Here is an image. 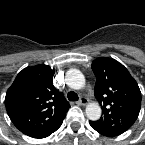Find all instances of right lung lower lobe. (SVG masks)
Segmentation results:
<instances>
[{
  "mask_svg": "<svg viewBox=\"0 0 145 145\" xmlns=\"http://www.w3.org/2000/svg\"><path fill=\"white\" fill-rule=\"evenodd\" d=\"M61 124H62V123H60L57 127H55L54 129H52L51 131L46 132V133H44V134H42V135L36 136V137H34V138L40 139V138H45V137L50 136L53 132H55V131L61 126Z\"/></svg>",
  "mask_w": 145,
  "mask_h": 145,
  "instance_id": "1",
  "label": "right lung lower lobe"
}]
</instances>
